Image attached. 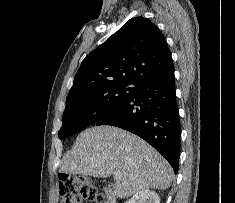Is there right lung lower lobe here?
<instances>
[{
    "instance_id": "1",
    "label": "right lung lower lobe",
    "mask_w": 235,
    "mask_h": 203,
    "mask_svg": "<svg viewBox=\"0 0 235 203\" xmlns=\"http://www.w3.org/2000/svg\"><path fill=\"white\" fill-rule=\"evenodd\" d=\"M130 131L157 149L178 172L180 119L173 65L143 79L118 108L95 123Z\"/></svg>"
}]
</instances>
